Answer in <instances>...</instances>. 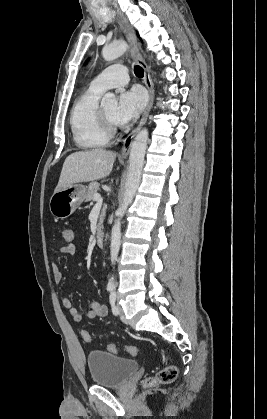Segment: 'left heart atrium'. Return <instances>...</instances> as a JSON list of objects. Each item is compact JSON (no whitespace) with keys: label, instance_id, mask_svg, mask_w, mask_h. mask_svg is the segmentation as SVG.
I'll list each match as a JSON object with an SVG mask.
<instances>
[{"label":"left heart atrium","instance_id":"1","mask_svg":"<svg viewBox=\"0 0 267 419\" xmlns=\"http://www.w3.org/2000/svg\"><path fill=\"white\" fill-rule=\"evenodd\" d=\"M146 102L144 92L139 88L124 91L119 96L115 114V122L118 125H126L134 121L142 112Z\"/></svg>","mask_w":267,"mask_h":419}]
</instances>
